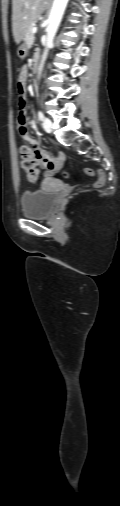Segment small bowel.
I'll list each match as a JSON object with an SVG mask.
<instances>
[{
	"mask_svg": "<svg viewBox=\"0 0 120 506\" xmlns=\"http://www.w3.org/2000/svg\"><path fill=\"white\" fill-rule=\"evenodd\" d=\"M27 77V68H22L19 80L23 83L26 80ZM27 137V134H22ZM32 144L35 145L36 149L40 151L41 157L39 159V166L45 170H47L48 173L55 172L59 170L62 167L63 161H64V155L62 153H59L55 156V158H52V156L47 153L45 150L38 148V141L36 139L31 140Z\"/></svg>",
	"mask_w": 120,
	"mask_h": 506,
	"instance_id": "1",
	"label": "small bowel"
}]
</instances>
